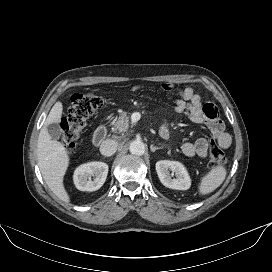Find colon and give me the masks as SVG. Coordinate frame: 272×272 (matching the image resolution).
I'll return each mask as SVG.
<instances>
[{
	"instance_id": "obj_1",
	"label": "colon",
	"mask_w": 272,
	"mask_h": 272,
	"mask_svg": "<svg viewBox=\"0 0 272 272\" xmlns=\"http://www.w3.org/2000/svg\"><path fill=\"white\" fill-rule=\"evenodd\" d=\"M104 100L95 93L74 94L68 115L61 122L60 141L67 151H73L90 116L102 107ZM210 166L214 169L225 165L221 147L212 141L209 149Z\"/></svg>"
}]
</instances>
